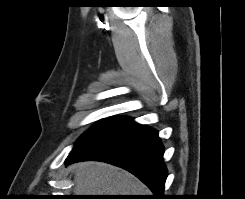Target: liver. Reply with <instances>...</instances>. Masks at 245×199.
I'll use <instances>...</instances> for the list:
<instances>
[{
    "instance_id": "liver-1",
    "label": "liver",
    "mask_w": 245,
    "mask_h": 199,
    "mask_svg": "<svg viewBox=\"0 0 245 199\" xmlns=\"http://www.w3.org/2000/svg\"><path fill=\"white\" fill-rule=\"evenodd\" d=\"M75 195H148L132 174L102 162L75 164Z\"/></svg>"
}]
</instances>
